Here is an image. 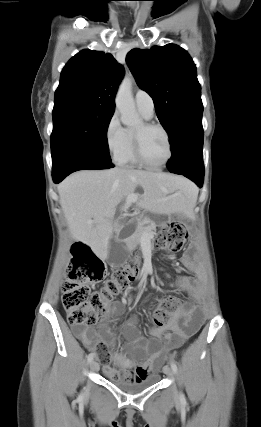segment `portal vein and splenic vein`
Returning <instances> with one entry per match:
<instances>
[{"label":"portal vein and splenic vein","mask_w":261,"mask_h":427,"mask_svg":"<svg viewBox=\"0 0 261 427\" xmlns=\"http://www.w3.org/2000/svg\"><path fill=\"white\" fill-rule=\"evenodd\" d=\"M138 200V195L137 194H130V195H128V197L126 198V202H125V204H124V206H123V210H126L127 208H129V206L132 204V203H134V202H136ZM93 221L92 220H90L89 221V223H92Z\"/></svg>","instance_id":"portal-vein-and-splenic-vein-1"}]
</instances>
